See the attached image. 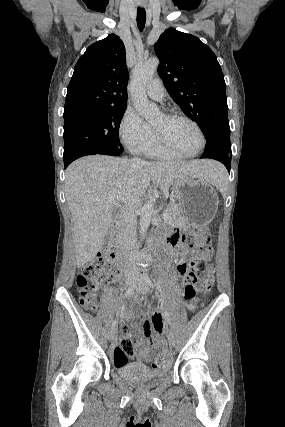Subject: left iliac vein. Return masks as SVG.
<instances>
[{"label":"left iliac vein","instance_id":"4c4485c4","mask_svg":"<svg viewBox=\"0 0 285 427\" xmlns=\"http://www.w3.org/2000/svg\"><path fill=\"white\" fill-rule=\"evenodd\" d=\"M135 290H136V292L141 293V294H145V293L149 292L148 286L143 281V279H141L140 276L138 277V282L135 285ZM167 338H168L169 345L174 347L175 346V340H174V337H173L171 330H169V332L167 334Z\"/></svg>","mask_w":285,"mask_h":427}]
</instances>
